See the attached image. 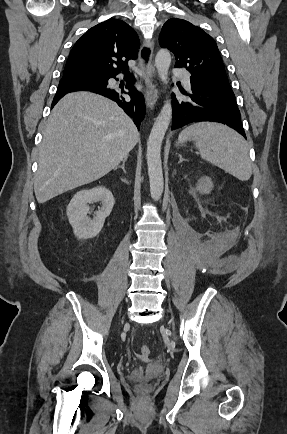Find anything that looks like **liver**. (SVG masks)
<instances>
[{"label": "liver", "instance_id": "1", "mask_svg": "<svg viewBox=\"0 0 287 434\" xmlns=\"http://www.w3.org/2000/svg\"><path fill=\"white\" fill-rule=\"evenodd\" d=\"M138 139L133 121L115 102L84 91L65 95L43 131L34 180L38 203L105 176Z\"/></svg>", "mask_w": 287, "mask_h": 434}]
</instances>
